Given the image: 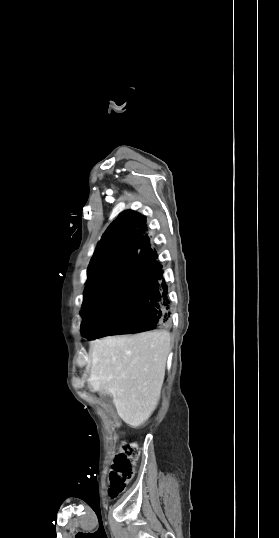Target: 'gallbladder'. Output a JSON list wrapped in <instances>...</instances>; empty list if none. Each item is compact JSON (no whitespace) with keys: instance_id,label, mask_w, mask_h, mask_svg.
I'll list each match as a JSON object with an SVG mask.
<instances>
[{"instance_id":"gallbladder-1","label":"gallbladder","mask_w":279,"mask_h":538,"mask_svg":"<svg viewBox=\"0 0 279 538\" xmlns=\"http://www.w3.org/2000/svg\"><path fill=\"white\" fill-rule=\"evenodd\" d=\"M105 403H106V405H107V406H106V409H107L108 412L113 413V412L116 411L117 406H116V404L114 403L113 398H111V397L106 398Z\"/></svg>"}]
</instances>
